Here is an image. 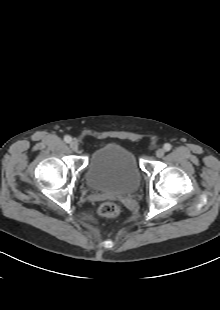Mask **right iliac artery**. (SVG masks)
I'll return each mask as SVG.
<instances>
[{"instance_id": "obj_1", "label": "right iliac artery", "mask_w": 220, "mask_h": 310, "mask_svg": "<svg viewBox=\"0 0 220 310\" xmlns=\"http://www.w3.org/2000/svg\"><path fill=\"white\" fill-rule=\"evenodd\" d=\"M64 141H65L66 143H70V142L72 141V138H71L69 135H66V136L64 137Z\"/></svg>"}]
</instances>
